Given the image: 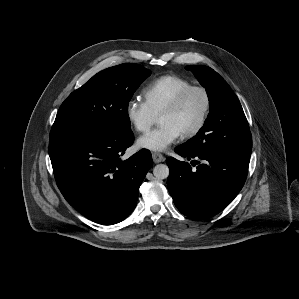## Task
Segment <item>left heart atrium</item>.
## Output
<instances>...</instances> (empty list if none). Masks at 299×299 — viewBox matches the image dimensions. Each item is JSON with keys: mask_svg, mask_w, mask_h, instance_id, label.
I'll list each match as a JSON object with an SVG mask.
<instances>
[{"mask_svg": "<svg viewBox=\"0 0 299 299\" xmlns=\"http://www.w3.org/2000/svg\"><path fill=\"white\" fill-rule=\"evenodd\" d=\"M182 135L172 124H163L137 140V146L151 151H164Z\"/></svg>", "mask_w": 299, "mask_h": 299, "instance_id": "39dd6f15", "label": "left heart atrium"}]
</instances>
